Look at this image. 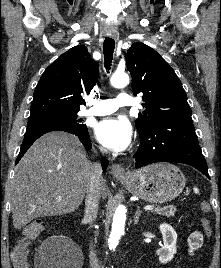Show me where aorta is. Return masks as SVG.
Wrapping results in <instances>:
<instances>
[{
    "label": "aorta",
    "instance_id": "aorta-1",
    "mask_svg": "<svg viewBox=\"0 0 221 268\" xmlns=\"http://www.w3.org/2000/svg\"><path fill=\"white\" fill-rule=\"evenodd\" d=\"M111 85L115 88H123L129 84V76L126 73H114L110 79ZM126 220L125 207L119 205L113 216L112 231L108 240L109 249H115L124 233Z\"/></svg>",
    "mask_w": 221,
    "mask_h": 268
}]
</instances>
